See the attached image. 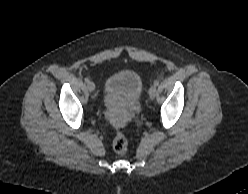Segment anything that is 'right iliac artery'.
<instances>
[{"label": "right iliac artery", "mask_w": 248, "mask_h": 194, "mask_svg": "<svg viewBox=\"0 0 248 194\" xmlns=\"http://www.w3.org/2000/svg\"><path fill=\"white\" fill-rule=\"evenodd\" d=\"M84 81H85V83H87V84L90 82V80H89L88 78H85Z\"/></svg>", "instance_id": "1"}]
</instances>
